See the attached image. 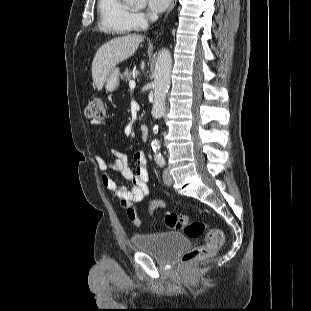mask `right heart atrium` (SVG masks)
<instances>
[{
    "label": "right heart atrium",
    "instance_id": "1",
    "mask_svg": "<svg viewBox=\"0 0 311 311\" xmlns=\"http://www.w3.org/2000/svg\"><path fill=\"white\" fill-rule=\"evenodd\" d=\"M132 20L136 29H142L147 25L148 16L143 12H135L132 15Z\"/></svg>",
    "mask_w": 311,
    "mask_h": 311
}]
</instances>
